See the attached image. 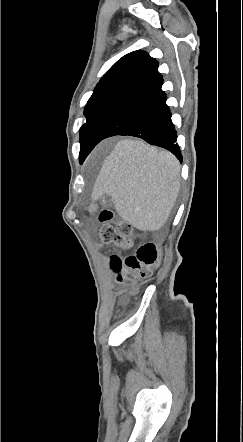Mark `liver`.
I'll return each instance as SVG.
<instances>
[{
	"label": "liver",
	"instance_id": "liver-1",
	"mask_svg": "<svg viewBox=\"0 0 243 442\" xmlns=\"http://www.w3.org/2000/svg\"><path fill=\"white\" fill-rule=\"evenodd\" d=\"M180 163L165 150L142 140L123 139L104 160L92 199L112 197L119 216L141 231L167 222L180 191ZM97 210L91 204L89 212Z\"/></svg>",
	"mask_w": 243,
	"mask_h": 442
}]
</instances>
